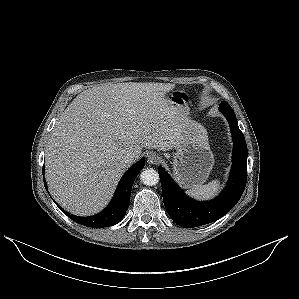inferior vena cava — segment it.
<instances>
[{"label": "inferior vena cava", "mask_w": 299, "mask_h": 299, "mask_svg": "<svg viewBox=\"0 0 299 299\" xmlns=\"http://www.w3.org/2000/svg\"><path fill=\"white\" fill-rule=\"evenodd\" d=\"M136 154L132 151H128L124 156H123V162L126 165H131L135 160H136Z\"/></svg>", "instance_id": "obj_1"}]
</instances>
